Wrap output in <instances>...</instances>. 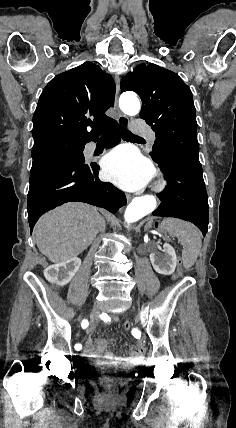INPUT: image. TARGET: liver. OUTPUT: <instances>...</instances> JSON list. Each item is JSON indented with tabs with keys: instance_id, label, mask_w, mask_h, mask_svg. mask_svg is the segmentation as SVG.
Listing matches in <instances>:
<instances>
[{
	"instance_id": "6515ba94",
	"label": "liver",
	"mask_w": 236,
	"mask_h": 428,
	"mask_svg": "<svg viewBox=\"0 0 236 428\" xmlns=\"http://www.w3.org/2000/svg\"><path fill=\"white\" fill-rule=\"evenodd\" d=\"M105 226L97 208L69 202L38 220L34 228L37 248L53 264L66 262L86 250Z\"/></svg>"
}]
</instances>
